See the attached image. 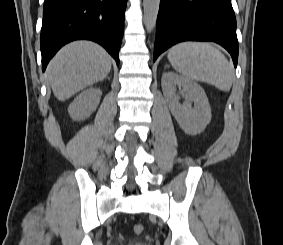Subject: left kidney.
Wrapping results in <instances>:
<instances>
[{
    "instance_id": "obj_1",
    "label": "left kidney",
    "mask_w": 283,
    "mask_h": 245,
    "mask_svg": "<svg viewBox=\"0 0 283 245\" xmlns=\"http://www.w3.org/2000/svg\"><path fill=\"white\" fill-rule=\"evenodd\" d=\"M161 85L169 109L183 131L191 135L203 132L211 121V109L202 87L174 72L164 73ZM177 86L185 95L183 104L176 94Z\"/></svg>"
}]
</instances>
